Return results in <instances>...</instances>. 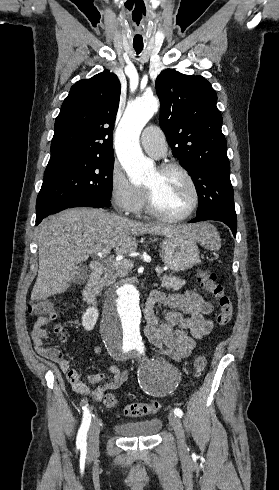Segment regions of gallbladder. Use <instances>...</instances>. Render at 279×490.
I'll return each mask as SVG.
<instances>
[{
	"instance_id": "obj_1",
	"label": "gallbladder",
	"mask_w": 279,
	"mask_h": 490,
	"mask_svg": "<svg viewBox=\"0 0 279 490\" xmlns=\"http://www.w3.org/2000/svg\"><path fill=\"white\" fill-rule=\"evenodd\" d=\"M89 276V270L87 266H78V270L72 280L74 284H85Z\"/></svg>"
}]
</instances>
